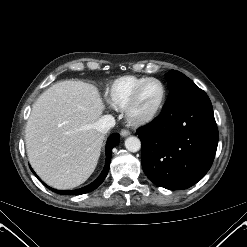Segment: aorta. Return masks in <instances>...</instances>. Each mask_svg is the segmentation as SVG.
Returning <instances> with one entry per match:
<instances>
[{
  "label": "aorta",
  "mask_w": 247,
  "mask_h": 247,
  "mask_svg": "<svg viewBox=\"0 0 247 247\" xmlns=\"http://www.w3.org/2000/svg\"><path fill=\"white\" fill-rule=\"evenodd\" d=\"M125 147L130 152H137L141 148V142L139 138L130 136L125 140Z\"/></svg>",
  "instance_id": "aorta-1"
}]
</instances>
